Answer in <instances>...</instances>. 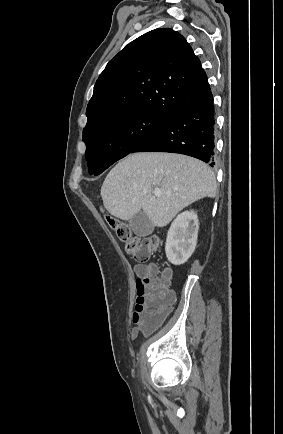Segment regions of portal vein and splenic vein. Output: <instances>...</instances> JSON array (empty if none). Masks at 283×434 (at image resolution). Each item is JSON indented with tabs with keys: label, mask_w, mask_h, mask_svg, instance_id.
I'll return each mask as SVG.
<instances>
[{
	"label": "portal vein and splenic vein",
	"mask_w": 283,
	"mask_h": 434,
	"mask_svg": "<svg viewBox=\"0 0 283 434\" xmlns=\"http://www.w3.org/2000/svg\"><path fill=\"white\" fill-rule=\"evenodd\" d=\"M154 196H155V197H159V196H161V191H160V190H155V191H154Z\"/></svg>",
	"instance_id": "1"
}]
</instances>
